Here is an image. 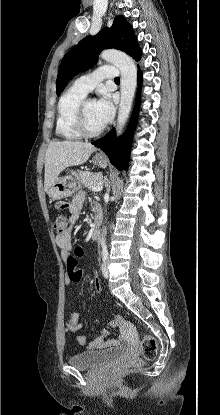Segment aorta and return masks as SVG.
<instances>
[{
  "mask_svg": "<svg viewBox=\"0 0 220 415\" xmlns=\"http://www.w3.org/2000/svg\"><path fill=\"white\" fill-rule=\"evenodd\" d=\"M100 57L119 68L121 72V98L118 108L116 131L119 135L129 117L137 85V69L134 61L125 53L114 49L102 51ZM106 229H103L101 243H105Z\"/></svg>",
  "mask_w": 220,
  "mask_h": 415,
  "instance_id": "aorta-1",
  "label": "aorta"
}]
</instances>
